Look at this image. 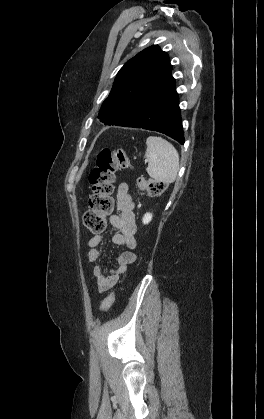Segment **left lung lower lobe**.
Returning a JSON list of instances; mask_svg holds the SVG:
<instances>
[{"mask_svg":"<svg viewBox=\"0 0 264 419\" xmlns=\"http://www.w3.org/2000/svg\"><path fill=\"white\" fill-rule=\"evenodd\" d=\"M105 125L142 128L164 133L184 144L178 94L172 78L146 88L142 97L122 115H113Z\"/></svg>","mask_w":264,"mask_h":419,"instance_id":"obj_1","label":"left lung lower lobe"}]
</instances>
